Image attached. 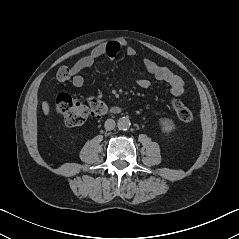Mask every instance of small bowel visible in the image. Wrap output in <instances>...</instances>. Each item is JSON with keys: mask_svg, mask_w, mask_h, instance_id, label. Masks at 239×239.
I'll use <instances>...</instances> for the list:
<instances>
[{"mask_svg": "<svg viewBox=\"0 0 239 239\" xmlns=\"http://www.w3.org/2000/svg\"><path fill=\"white\" fill-rule=\"evenodd\" d=\"M125 45L126 41L119 39L96 46L88 55L80 58L72 66V84L77 88H81L85 82L84 77L79 74L82 70L93 66L96 60L102 56L114 58L120 49ZM126 54L130 57H133L136 55V50L132 47H128L126 49ZM144 66L156 80L167 83L170 86V91L174 96H180L183 94L184 83L178 75L171 72L168 68L157 64L151 59H145ZM135 82L141 88H148L150 86V81L145 78H137L135 79Z\"/></svg>", "mask_w": 239, "mask_h": 239, "instance_id": "c3829d8e", "label": "small bowel"}]
</instances>
